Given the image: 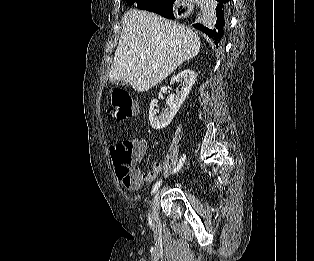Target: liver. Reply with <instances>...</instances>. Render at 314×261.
<instances>
[{"mask_svg": "<svg viewBox=\"0 0 314 261\" xmlns=\"http://www.w3.org/2000/svg\"><path fill=\"white\" fill-rule=\"evenodd\" d=\"M122 23L109 79L129 83L137 92L156 86L200 51L195 32L155 13L130 9Z\"/></svg>", "mask_w": 314, "mask_h": 261, "instance_id": "liver-1", "label": "liver"}]
</instances>
